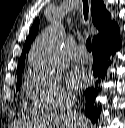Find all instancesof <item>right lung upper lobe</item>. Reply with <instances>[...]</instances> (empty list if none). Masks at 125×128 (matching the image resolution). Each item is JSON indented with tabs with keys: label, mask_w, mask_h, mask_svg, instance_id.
I'll use <instances>...</instances> for the list:
<instances>
[{
	"label": "right lung upper lobe",
	"mask_w": 125,
	"mask_h": 128,
	"mask_svg": "<svg viewBox=\"0 0 125 128\" xmlns=\"http://www.w3.org/2000/svg\"><path fill=\"white\" fill-rule=\"evenodd\" d=\"M91 13H92L93 24L99 30V34L93 37V41H94L100 35H102L111 27H113L116 23L115 21L111 22V16L109 12L106 10L103 0H92ZM38 28H39V19H36L30 29L29 36L27 37L25 45L23 47L22 55L18 63L17 74L23 71L26 52L30 49L31 43L36 37Z\"/></svg>",
	"instance_id": "obj_1"
}]
</instances>
